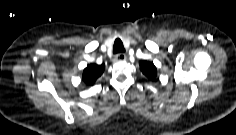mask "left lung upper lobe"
Masks as SVG:
<instances>
[{
  "label": "left lung upper lobe",
  "mask_w": 236,
  "mask_h": 135,
  "mask_svg": "<svg viewBox=\"0 0 236 135\" xmlns=\"http://www.w3.org/2000/svg\"><path fill=\"white\" fill-rule=\"evenodd\" d=\"M140 69L150 80H155L157 76V69L152 62H140Z\"/></svg>",
  "instance_id": "5c2ea615"
}]
</instances>
